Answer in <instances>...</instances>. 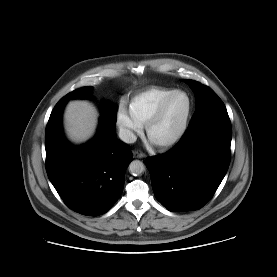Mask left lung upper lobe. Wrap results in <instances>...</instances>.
<instances>
[{
  "label": "left lung upper lobe",
  "mask_w": 277,
  "mask_h": 277,
  "mask_svg": "<svg viewBox=\"0 0 277 277\" xmlns=\"http://www.w3.org/2000/svg\"><path fill=\"white\" fill-rule=\"evenodd\" d=\"M194 90L197 106L189 126L212 114L227 111L221 99L207 86L194 80L184 79Z\"/></svg>",
  "instance_id": "left-lung-upper-lobe-1"
}]
</instances>
